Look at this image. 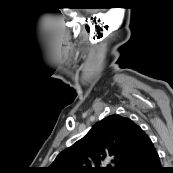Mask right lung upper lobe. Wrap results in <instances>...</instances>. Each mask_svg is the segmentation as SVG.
Masks as SVG:
<instances>
[{"label":"right lung upper lobe","mask_w":173,"mask_h":173,"mask_svg":"<svg viewBox=\"0 0 173 173\" xmlns=\"http://www.w3.org/2000/svg\"><path fill=\"white\" fill-rule=\"evenodd\" d=\"M152 147L150 138L132 120L110 115L62 151L48 173H120L130 160Z\"/></svg>","instance_id":"right-lung-upper-lobe-1"}]
</instances>
